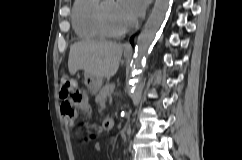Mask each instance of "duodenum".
Wrapping results in <instances>:
<instances>
[{"instance_id":"obj_1","label":"duodenum","mask_w":242,"mask_h":160,"mask_svg":"<svg viewBox=\"0 0 242 160\" xmlns=\"http://www.w3.org/2000/svg\"><path fill=\"white\" fill-rule=\"evenodd\" d=\"M114 120L111 118H107L103 122V128L107 131H110L114 127Z\"/></svg>"}]
</instances>
